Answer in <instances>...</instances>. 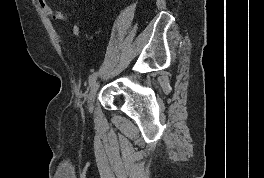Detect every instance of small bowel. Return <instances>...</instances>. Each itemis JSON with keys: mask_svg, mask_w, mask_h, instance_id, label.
<instances>
[{"mask_svg": "<svg viewBox=\"0 0 264 178\" xmlns=\"http://www.w3.org/2000/svg\"><path fill=\"white\" fill-rule=\"evenodd\" d=\"M38 5L40 6L41 10L48 16L52 17L53 19L60 21V22H66L67 21V15L66 13L61 9H53L48 0H37ZM72 32L75 36H79L82 33V27L78 24L73 25Z\"/></svg>", "mask_w": 264, "mask_h": 178, "instance_id": "c3829d8e", "label": "small bowel"}]
</instances>
